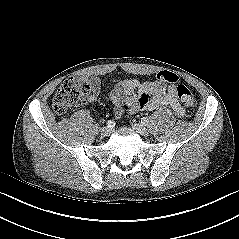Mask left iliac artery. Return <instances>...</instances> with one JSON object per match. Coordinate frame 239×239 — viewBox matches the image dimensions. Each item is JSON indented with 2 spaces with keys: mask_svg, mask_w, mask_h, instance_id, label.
<instances>
[{
  "mask_svg": "<svg viewBox=\"0 0 239 239\" xmlns=\"http://www.w3.org/2000/svg\"><path fill=\"white\" fill-rule=\"evenodd\" d=\"M141 123L146 126L149 124V119L147 117H143L141 118Z\"/></svg>",
  "mask_w": 239,
  "mask_h": 239,
  "instance_id": "left-iliac-artery-1",
  "label": "left iliac artery"
}]
</instances>
